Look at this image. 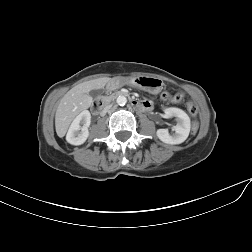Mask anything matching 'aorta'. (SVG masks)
<instances>
[{
  "label": "aorta",
  "mask_w": 252,
  "mask_h": 252,
  "mask_svg": "<svg viewBox=\"0 0 252 252\" xmlns=\"http://www.w3.org/2000/svg\"><path fill=\"white\" fill-rule=\"evenodd\" d=\"M116 102L120 106H124L127 103V98L125 96H118Z\"/></svg>",
  "instance_id": "762f6f07"
}]
</instances>
